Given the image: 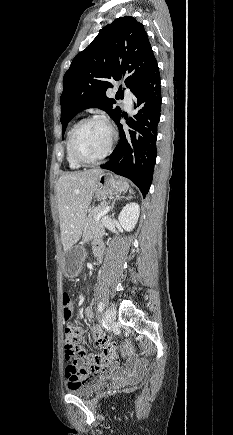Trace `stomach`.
I'll return each mask as SVG.
<instances>
[{
  "mask_svg": "<svg viewBox=\"0 0 233 435\" xmlns=\"http://www.w3.org/2000/svg\"><path fill=\"white\" fill-rule=\"evenodd\" d=\"M128 182L116 178L111 173L102 172L98 175L95 184V196L100 201H105L108 196L118 195L125 192ZM85 251L80 246H72L64 250L62 254L63 272L68 278L78 277L82 270Z\"/></svg>",
  "mask_w": 233,
  "mask_h": 435,
  "instance_id": "1",
  "label": "stomach"
}]
</instances>
